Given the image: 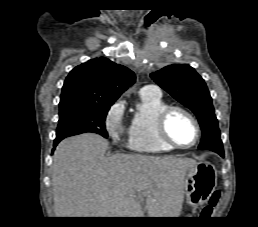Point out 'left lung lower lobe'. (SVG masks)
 Returning <instances> with one entry per match:
<instances>
[{"label":"left lung lower lobe","mask_w":258,"mask_h":227,"mask_svg":"<svg viewBox=\"0 0 258 227\" xmlns=\"http://www.w3.org/2000/svg\"><path fill=\"white\" fill-rule=\"evenodd\" d=\"M220 155H221L222 157H224V153H221Z\"/></svg>","instance_id":"obj_1"}]
</instances>
